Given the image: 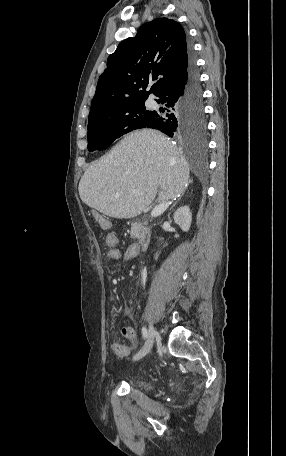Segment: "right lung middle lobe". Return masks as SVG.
<instances>
[{"label": "right lung middle lobe", "mask_w": 286, "mask_h": 456, "mask_svg": "<svg viewBox=\"0 0 286 456\" xmlns=\"http://www.w3.org/2000/svg\"><path fill=\"white\" fill-rule=\"evenodd\" d=\"M145 100L110 107L88 121V150H103L122 135L145 128L155 111L145 108ZM203 126L193 124L190 133H202Z\"/></svg>", "instance_id": "obj_1"}]
</instances>
